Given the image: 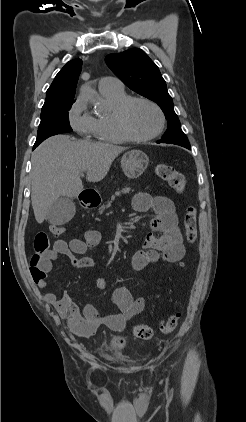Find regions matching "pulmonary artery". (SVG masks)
Segmentation results:
<instances>
[{
    "instance_id": "pulmonary-artery-1",
    "label": "pulmonary artery",
    "mask_w": 246,
    "mask_h": 422,
    "mask_svg": "<svg viewBox=\"0 0 246 422\" xmlns=\"http://www.w3.org/2000/svg\"><path fill=\"white\" fill-rule=\"evenodd\" d=\"M98 86H99L100 91L123 89V85L121 81L114 77L101 78Z\"/></svg>"
}]
</instances>
